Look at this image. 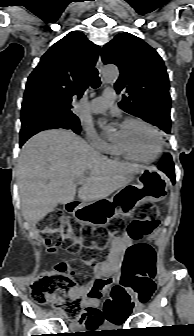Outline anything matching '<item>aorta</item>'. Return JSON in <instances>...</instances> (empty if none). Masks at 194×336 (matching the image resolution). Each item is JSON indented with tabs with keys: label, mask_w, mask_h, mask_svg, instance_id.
<instances>
[{
	"label": "aorta",
	"mask_w": 194,
	"mask_h": 336,
	"mask_svg": "<svg viewBox=\"0 0 194 336\" xmlns=\"http://www.w3.org/2000/svg\"><path fill=\"white\" fill-rule=\"evenodd\" d=\"M119 75L118 68L114 65H107L102 69V80L104 83L114 82Z\"/></svg>",
	"instance_id": "1"
}]
</instances>
